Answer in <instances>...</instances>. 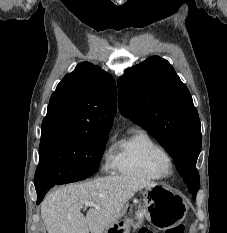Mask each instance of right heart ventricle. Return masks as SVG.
Returning a JSON list of instances; mask_svg holds the SVG:
<instances>
[{
	"instance_id": "obj_1",
	"label": "right heart ventricle",
	"mask_w": 227,
	"mask_h": 233,
	"mask_svg": "<svg viewBox=\"0 0 227 233\" xmlns=\"http://www.w3.org/2000/svg\"><path fill=\"white\" fill-rule=\"evenodd\" d=\"M164 148L145 130L133 129L115 145L111 168L125 176L156 181L163 178L156 167Z\"/></svg>"
}]
</instances>
